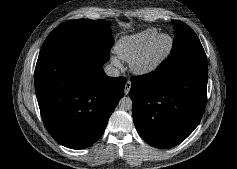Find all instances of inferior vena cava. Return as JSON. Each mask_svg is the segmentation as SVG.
I'll return each mask as SVG.
<instances>
[{
	"label": "inferior vena cava",
	"instance_id": "inferior-vena-cava-1",
	"mask_svg": "<svg viewBox=\"0 0 237 169\" xmlns=\"http://www.w3.org/2000/svg\"><path fill=\"white\" fill-rule=\"evenodd\" d=\"M104 72L107 76H110V77H118L120 75L119 69H117L111 64H108L104 67Z\"/></svg>",
	"mask_w": 237,
	"mask_h": 169
}]
</instances>
